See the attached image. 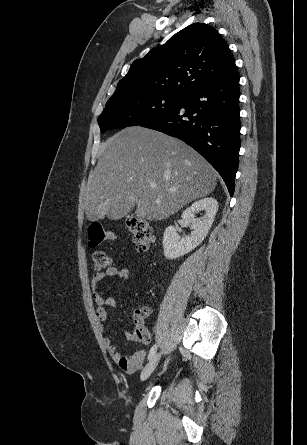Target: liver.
<instances>
[{
	"mask_svg": "<svg viewBox=\"0 0 307 445\" xmlns=\"http://www.w3.org/2000/svg\"><path fill=\"white\" fill-rule=\"evenodd\" d=\"M216 184L213 166L183 140L127 126L99 146L98 162L87 180L86 214L89 220L108 212L122 218L136 204L137 218L163 220L210 194Z\"/></svg>",
	"mask_w": 307,
	"mask_h": 445,
	"instance_id": "liver-1",
	"label": "liver"
}]
</instances>
